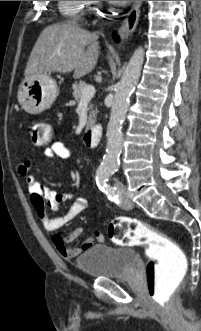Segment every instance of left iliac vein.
<instances>
[{
    "label": "left iliac vein",
    "instance_id": "4c4485c4",
    "mask_svg": "<svg viewBox=\"0 0 201 331\" xmlns=\"http://www.w3.org/2000/svg\"><path fill=\"white\" fill-rule=\"evenodd\" d=\"M115 186L118 188V190H122V185L120 182L116 181Z\"/></svg>",
    "mask_w": 201,
    "mask_h": 331
}]
</instances>
